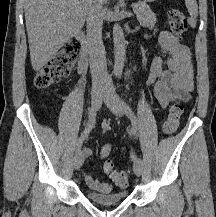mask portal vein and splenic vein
<instances>
[{
	"label": "portal vein and splenic vein",
	"mask_w": 216,
	"mask_h": 217,
	"mask_svg": "<svg viewBox=\"0 0 216 217\" xmlns=\"http://www.w3.org/2000/svg\"><path fill=\"white\" fill-rule=\"evenodd\" d=\"M136 6L135 5H132V8H135Z\"/></svg>",
	"instance_id": "1"
}]
</instances>
